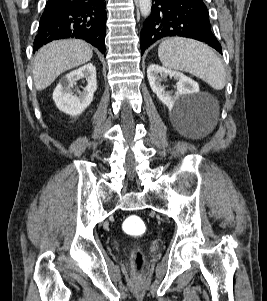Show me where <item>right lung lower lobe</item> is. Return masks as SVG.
Segmentation results:
<instances>
[{
    "mask_svg": "<svg viewBox=\"0 0 267 301\" xmlns=\"http://www.w3.org/2000/svg\"><path fill=\"white\" fill-rule=\"evenodd\" d=\"M104 0H49L41 16L34 52L64 38H81L105 53Z\"/></svg>",
    "mask_w": 267,
    "mask_h": 301,
    "instance_id": "obj_1",
    "label": "right lung lower lobe"
}]
</instances>
